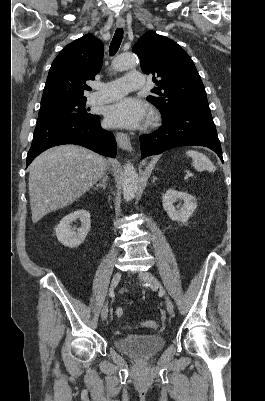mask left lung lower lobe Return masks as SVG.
<instances>
[{
    "instance_id": "left-lung-lower-lobe-1",
    "label": "left lung lower lobe",
    "mask_w": 265,
    "mask_h": 401,
    "mask_svg": "<svg viewBox=\"0 0 265 401\" xmlns=\"http://www.w3.org/2000/svg\"><path fill=\"white\" fill-rule=\"evenodd\" d=\"M163 125L152 134L140 136L142 158L180 146H205L222 158L220 141L210 109L187 108L163 115Z\"/></svg>"
}]
</instances>
